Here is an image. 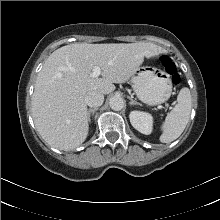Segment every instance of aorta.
<instances>
[{"instance_id":"1","label":"aorta","mask_w":220,"mask_h":220,"mask_svg":"<svg viewBox=\"0 0 220 220\" xmlns=\"http://www.w3.org/2000/svg\"><path fill=\"white\" fill-rule=\"evenodd\" d=\"M109 105L112 110L120 111L124 108L125 102L120 96H113L109 100Z\"/></svg>"}]
</instances>
